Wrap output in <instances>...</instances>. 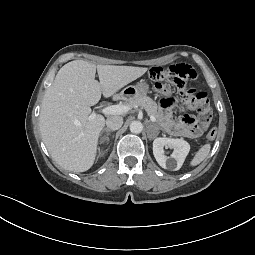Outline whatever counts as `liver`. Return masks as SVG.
<instances>
[{
	"instance_id": "6515ba94",
	"label": "liver",
	"mask_w": 255,
	"mask_h": 255,
	"mask_svg": "<svg viewBox=\"0 0 255 255\" xmlns=\"http://www.w3.org/2000/svg\"><path fill=\"white\" fill-rule=\"evenodd\" d=\"M96 68L99 82L95 80ZM146 71L145 67L96 66L84 60L60 68L45 92L39 116L42 140L52 159L69 171L90 169L105 125L102 115L89 119L90 106L97 104L102 94L111 97Z\"/></svg>"
}]
</instances>
